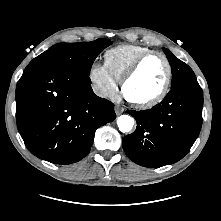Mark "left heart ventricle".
Instances as JSON below:
<instances>
[{
    "mask_svg": "<svg viewBox=\"0 0 221 221\" xmlns=\"http://www.w3.org/2000/svg\"><path fill=\"white\" fill-rule=\"evenodd\" d=\"M166 77V66L159 56H151L141 65L136 75L126 86L127 95L134 100H146L155 96L162 88Z\"/></svg>",
    "mask_w": 221,
    "mask_h": 221,
    "instance_id": "obj_1",
    "label": "left heart ventricle"
}]
</instances>
